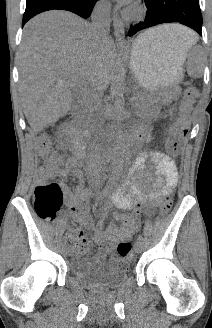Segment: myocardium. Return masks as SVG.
Instances as JSON below:
<instances>
[{"instance_id":"myocardium-1","label":"myocardium","mask_w":212,"mask_h":328,"mask_svg":"<svg viewBox=\"0 0 212 328\" xmlns=\"http://www.w3.org/2000/svg\"><path fill=\"white\" fill-rule=\"evenodd\" d=\"M145 13V7L139 1L135 2L131 9L127 12V18L130 20L140 19Z\"/></svg>"}]
</instances>
